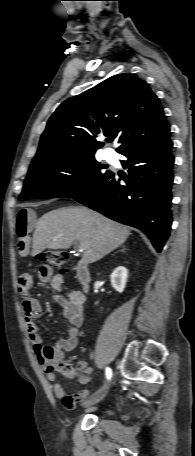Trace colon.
I'll return each instance as SVG.
<instances>
[{"instance_id": "5ec220e1", "label": "colon", "mask_w": 195, "mask_h": 456, "mask_svg": "<svg viewBox=\"0 0 195 456\" xmlns=\"http://www.w3.org/2000/svg\"><path fill=\"white\" fill-rule=\"evenodd\" d=\"M39 258L52 266L53 268L63 272L66 269V266L70 260V255L65 250H47L39 255ZM55 369L54 367L52 368ZM56 369L66 376L75 375V369L68 362H60L57 364Z\"/></svg>"}]
</instances>
